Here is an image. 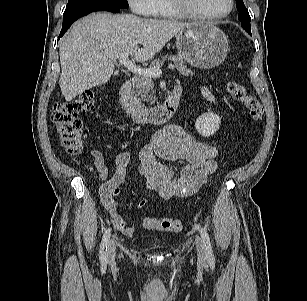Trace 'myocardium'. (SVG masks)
Here are the masks:
<instances>
[{
  "mask_svg": "<svg viewBox=\"0 0 307 301\" xmlns=\"http://www.w3.org/2000/svg\"><path fill=\"white\" fill-rule=\"evenodd\" d=\"M167 1L171 6V8L181 16L200 21L221 20L229 16L235 7V0H230V6L226 12L218 15H206L194 11L190 7L188 0H167Z\"/></svg>",
  "mask_w": 307,
  "mask_h": 301,
  "instance_id": "f54148a6",
  "label": "myocardium"
}]
</instances>
